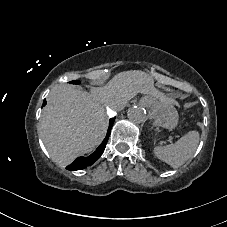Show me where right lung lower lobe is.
Masks as SVG:
<instances>
[{
  "label": "right lung lower lobe",
  "mask_w": 227,
  "mask_h": 227,
  "mask_svg": "<svg viewBox=\"0 0 227 227\" xmlns=\"http://www.w3.org/2000/svg\"><path fill=\"white\" fill-rule=\"evenodd\" d=\"M46 104V101H44L43 106ZM115 119H110L109 122V128L107 135L103 142L99 145V147L96 149L95 152H93L90 156L88 157H78L72 164H70L67 169L71 171L75 170H81L86 168L87 166L92 165L103 153L105 146L107 144L108 138L110 136L111 128L113 126Z\"/></svg>",
  "instance_id": "right-lung-lower-lobe-1"
}]
</instances>
